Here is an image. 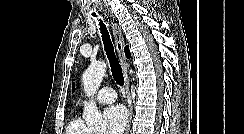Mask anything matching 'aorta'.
Returning <instances> with one entry per match:
<instances>
[{
  "label": "aorta",
  "mask_w": 244,
  "mask_h": 134,
  "mask_svg": "<svg viewBox=\"0 0 244 134\" xmlns=\"http://www.w3.org/2000/svg\"><path fill=\"white\" fill-rule=\"evenodd\" d=\"M106 63L98 61L91 63L82 75L84 92L88 97L94 96L97 92L106 71ZM86 123L91 128H105L106 121L103 119L101 112L98 110L93 100L89 103L83 112Z\"/></svg>",
  "instance_id": "aorta-1"
}]
</instances>
